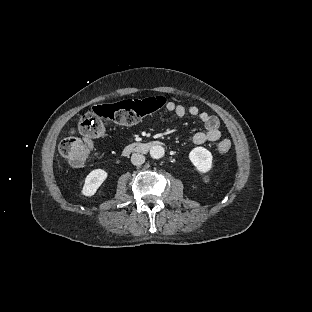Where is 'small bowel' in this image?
Instances as JSON below:
<instances>
[{
    "instance_id": "small-bowel-1",
    "label": "small bowel",
    "mask_w": 312,
    "mask_h": 312,
    "mask_svg": "<svg viewBox=\"0 0 312 312\" xmlns=\"http://www.w3.org/2000/svg\"><path fill=\"white\" fill-rule=\"evenodd\" d=\"M166 110L173 113L177 118H184L186 115L197 117L205 126V132H197L192 137V142L196 145L205 142H215L221 137V128L219 119L205 111H201L198 106L191 105L185 107L183 104L169 101L166 104Z\"/></svg>"
}]
</instances>
